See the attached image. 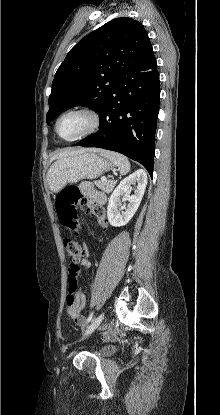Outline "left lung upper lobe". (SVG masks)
<instances>
[{"mask_svg": "<svg viewBox=\"0 0 220 415\" xmlns=\"http://www.w3.org/2000/svg\"><path fill=\"white\" fill-rule=\"evenodd\" d=\"M153 56L146 30L131 18L113 19L91 32L68 52L55 74L47 123L73 106L99 113L118 78Z\"/></svg>", "mask_w": 220, "mask_h": 415, "instance_id": "5c2ea615", "label": "left lung upper lobe"}]
</instances>
